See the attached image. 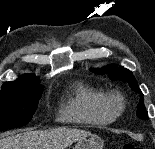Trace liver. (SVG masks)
Masks as SVG:
<instances>
[{"instance_id":"liver-1","label":"liver","mask_w":155,"mask_h":149,"mask_svg":"<svg viewBox=\"0 0 155 149\" xmlns=\"http://www.w3.org/2000/svg\"><path fill=\"white\" fill-rule=\"evenodd\" d=\"M89 134L85 130L67 127L26 131L0 139V149H66Z\"/></svg>"}]
</instances>
